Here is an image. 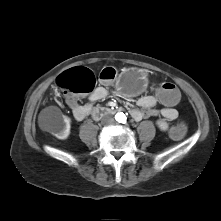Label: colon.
<instances>
[{
    "label": "colon",
    "instance_id": "1",
    "mask_svg": "<svg viewBox=\"0 0 221 221\" xmlns=\"http://www.w3.org/2000/svg\"><path fill=\"white\" fill-rule=\"evenodd\" d=\"M117 72L112 67H106L99 73V79L103 82L113 81ZM57 85L65 91L67 97L75 98L79 94L90 93L96 85L95 74L86 67H75L62 73L57 78ZM150 96L157 99L166 108H175L179 105L181 91L170 82H151L147 86ZM188 134V126L185 123H178L169 130V137L172 140L184 139Z\"/></svg>",
    "mask_w": 221,
    "mask_h": 221
}]
</instances>
